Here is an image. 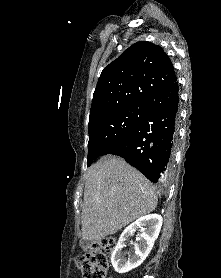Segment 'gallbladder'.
Instances as JSON below:
<instances>
[{"label": "gallbladder", "mask_w": 221, "mask_h": 278, "mask_svg": "<svg viewBox=\"0 0 221 278\" xmlns=\"http://www.w3.org/2000/svg\"><path fill=\"white\" fill-rule=\"evenodd\" d=\"M90 244H91V241H90V240H87V239H82V240H81V243H80L81 248H82L83 250H87V249L90 247Z\"/></svg>", "instance_id": "bac80fb5"}]
</instances>
